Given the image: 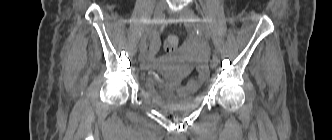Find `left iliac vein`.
Here are the masks:
<instances>
[{
  "label": "left iliac vein",
  "mask_w": 332,
  "mask_h": 140,
  "mask_svg": "<svg viewBox=\"0 0 332 140\" xmlns=\"http://www.w3.org/2000/svg\"><path fill=\"white\" fill-rule=\"evenodd\" d=\"M180 17L186 27H188L190 29L193 28L192 22H193V18H194V12L189 6L184 7L180 11ZM210 65H211V68H215L217 66V62L212 59L210 62Z\"/></svg>",
  "instance_id": "left-iliac-vein-1"
}]
</instances>
